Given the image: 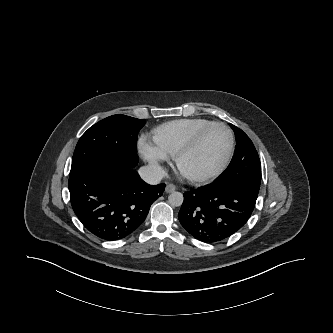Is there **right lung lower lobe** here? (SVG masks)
<instances>
[{
    "mask_svg": "<svg viewBox=\"0 0 333 333\" xmlns=\"http://www.w3.org/2000/svg\"><path fill=\"white\" fill-rule=\"evenodd\" d=\"M68 186L78 219L106 241L132 234L165 189V184H146L133 168H89L69 177Z\"/></svg>",
    "mask_w": 333,
    "mask_h": 333,
    "instance_id": "1",
    "label": "right lung lower lobe"
}]
</instances>
